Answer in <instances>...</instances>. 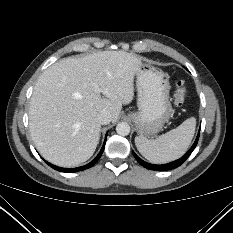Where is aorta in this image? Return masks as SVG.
Listing matches in <instances>:
<instances>
[{
	"label": "aorta",
	"mask_w": 233,
	"mask_h": 233,
	"mask_svg": "<svg viewBox=\"0 0 233 233\" xmlns=\"http://www.w3.org/2000/svg\"><path fill=\"white\" fill-rule=\"evenodd\" d=\"M116 132L121 136H127L130 133V126L126 122H120L116 126Z\"/></svg>",
	"instance_id": "762f6f07"
}]
</instances>
